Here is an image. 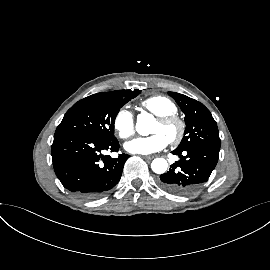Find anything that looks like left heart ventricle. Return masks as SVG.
<instances>
[{"instance_id": "obj_1", "label": "left heart ventricle", "mask_w": 270, "mask_h": 270, "mask_svg": "<svg viewBox=\"0 0 270 270\" xmlns=\"http://www.w3.org/2000/svg\"><path fill=\"white\" fill-rule=\"evenodd\" d=\"M178 127L176 125H162L159 122H155L152 127V133L156 134H162L168 141H170L174 136L177 134Z\"/></svg>"}]
</instances>
